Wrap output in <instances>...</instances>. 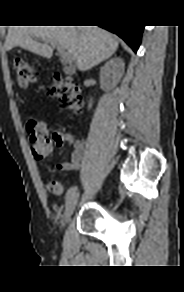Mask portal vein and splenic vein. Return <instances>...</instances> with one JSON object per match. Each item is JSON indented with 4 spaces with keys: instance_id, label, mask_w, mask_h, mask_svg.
Instances as JSON below:
<instances>
[{
    "instance_id": "18ae733b",
    "label": "portal vein and splenic vein",
    "mask_w": 184,
    "mask_h": 292,
    "mask_svg": "<svg viewBox=\"0 0 184 292\" xmlns=\"http://www.w3.org/2000/svg\"><path fill=\"white\" fill-rule=\"evenodd\" d=\"M50 43L57 48V51L59 52L64 63L67 64V63L71 62L70 54L68 52H66L62 46H60L54 42H50Z\"/></svg>"
}]
</instances>
